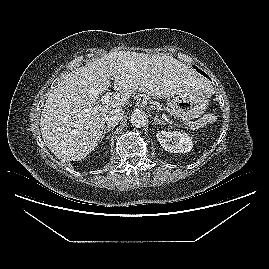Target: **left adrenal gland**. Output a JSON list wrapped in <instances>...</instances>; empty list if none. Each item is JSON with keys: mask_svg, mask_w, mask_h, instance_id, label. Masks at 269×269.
Here are the masks:
<instances>
[{"mask_svg": "<svg viewBox=\"0 0 269 269\" xmlns=\"http://www.w3.org/2000/svg\"><path fill=\"white\" fill-rule=\"evenodd\" d=\"M155 123L165 125V122L161 120L158 116H155L154 118Z\"/></svg>", "mask_w": 269, "mask_h": 269, "instance_id": "obj_1", "label": "left adrenal gland"}]
</instances>
